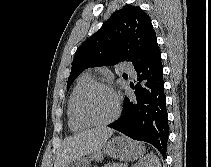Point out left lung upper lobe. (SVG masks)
<instances>
[{"label":"left lung upper lobe","instance_id":"obj_1","mask_svg":"<svg viewBox=\"0 0 211 167\" xmlns=\"http://www.w3.org/2000/svg\"><path fill=\"white\" fill-rule=\"evenodd\" d=\"M158 47L149 16L138 6L126 5L112 14L104 25L76 51L67 81L69 89L86 68L132 62L144 63Z\"/></svg>","mask_w":211,"mask_h":167}]
</instances>
